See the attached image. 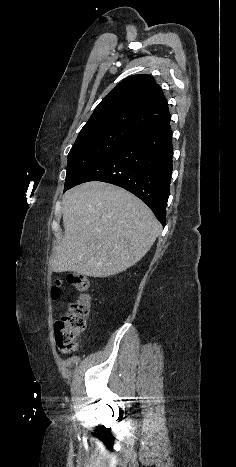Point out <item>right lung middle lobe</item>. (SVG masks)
I'll return each instance as SVG.
<instances>
[{"instance_id": "right-lung-middle-lobe-1", "label": "right lung middle lobe", "mask_w": 236, "mask_h": 467, "mask_svg": "<svg viewBox=\"0 0 236 467\" xmlns=\"http://www.w3.org/2000/svg\"><path fill=\"white\" fill-rule=\"evenodd\" d=\"M138 132L134 129L103 125L80 131L68 154L65 188L90 166Z\"/></svg>"}]
</instances>
